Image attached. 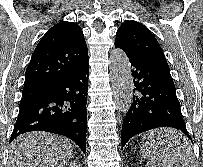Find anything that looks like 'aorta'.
Returning <instances> with one entry per match:
<instances>
[{
	"label": "aorta",
	"instance_id": "762f6f07",
	"mask_svg": "<svg viewBox=\"0 0 203 167\" xmlns=\"http://www.w3.org/2000/svg\"><path fill=\"white\" fill-rule=\"evenodd\" d=\"M109 71L115 103L121 112L127 113L133 100V79L129 59L122 49L111 51Z\"/></svg>",
	"mask_w": 203,
	"mask_h": 167
}]
</instances>
